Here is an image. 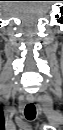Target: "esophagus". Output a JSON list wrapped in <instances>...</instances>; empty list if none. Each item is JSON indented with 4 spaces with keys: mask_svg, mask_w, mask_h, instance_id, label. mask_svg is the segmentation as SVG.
<instances>
[{
    "mask_svg": "<svg viewBox=\"0 0 63 130\" xmlns=\"http://www.w3.org/2000/svg\"><path fill=\"white\" fill-rule=\"evenodd\" d=\"M27 101L29 102V103H33L34 101H35V98H34V96H27Z\"/></svg>",
    "mask_w": 63,
    "mask_h": 130,
    "instance_id": "obj_1",
    "label": "esophagus"
}]
</instances>
